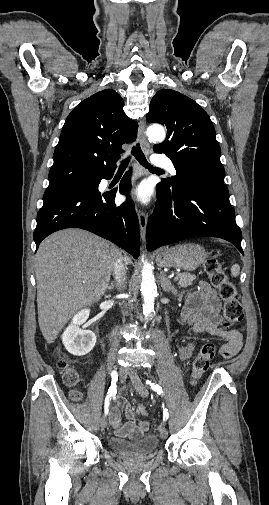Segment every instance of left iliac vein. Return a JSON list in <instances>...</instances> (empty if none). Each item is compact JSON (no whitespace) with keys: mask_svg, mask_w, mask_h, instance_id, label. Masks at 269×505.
<instances>
[{"mask_svg":"<svg viewBox=\"0 0 269 505\" xmlns=\"http://www.w3.org/2000/svg\"><path fill=\"white\" fill-rule=\"evenodd\" d=\"M128 374L130 376V379H131L132 384H133L134 388L136 389V391L141 396H147L148 395V390H147L146 386L142 383V381H141L140 377L138 376L136 370L133 369V368H130V369H128ZM159 432H160V437L162 439L167 438V436H168V430L165 427V425H161L160 426Z\"/></svg>","mask_w":269,"mask_h":505,"instance_id":"4c4485c4","label":"left iliac vein"}]
</instances>
